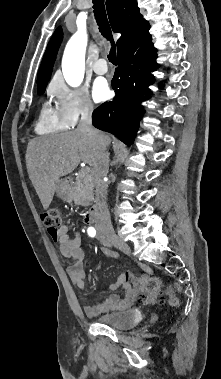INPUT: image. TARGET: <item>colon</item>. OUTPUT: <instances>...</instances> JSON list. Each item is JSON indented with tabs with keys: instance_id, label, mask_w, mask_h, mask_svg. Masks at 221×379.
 I'll return each mask as SVG.
<instances>
[{
	"instance_id": "colon-1",
	"label": "colon",
	"mask_w": 221,
	"mask_h": 379,
	"mask_svg": "<svg viewBox=\"0 0 221 379\" xmlns=\"http://www.w3.org/2000/svg\"><path fill=\"white\" fill-rule=\"evenodd\" d=\"M41 221L49 234L55 235L60 225V214L56 209H48L41 214ZM162 282L158 277H151L146 281V294L140 297L142 304H154L162 300L160 297ZM166 295L172 305L177 304L176 295L171 287L166 289Z\"/></svg>"
}]
</instances>
